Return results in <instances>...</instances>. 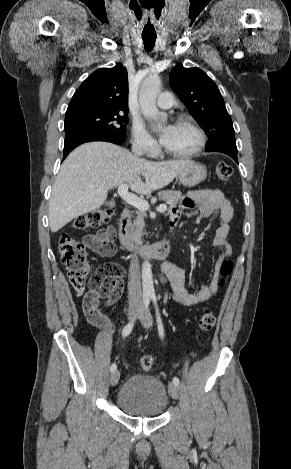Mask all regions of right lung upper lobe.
<instances>
[{"instance_id":"1","label":"right lung upper lobe","mask_w":291,"mask_h":469,"mask_svg":"<svg viewBox=\"0 0 291 469\" xmlns=\"http://www.w3.org/2000/svg\"><path fill=\"white\" fill-rule=\"evenodd\" d=\"M127 70L121 64L93 72L74 93L66 113L103 109L128 112Z\"/></svg>"}]
</instances>
